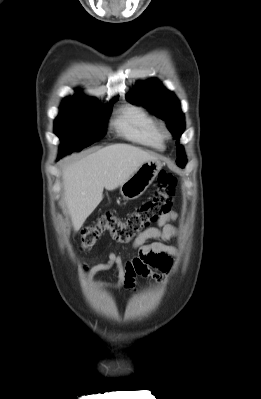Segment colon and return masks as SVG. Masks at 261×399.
<instances>
[{
	"mask_svg": "<svg viewBox=\"0 0 261 399\" xmlns=\"http://www.w3.org/2000/svg\"><path fill=\"white\" fill-rule=\"evenodd\" d=\"M176 179L167 171H160L152 198L131 211L125 218L112 213L101 215L94 223L81 230V247L93 248L103 234H109L115 241L128 243L169 213Z\"/></svg>",
	"mask_w": 261,
	"mask_h": 399,
	"instance_id": "obj_1",
	"label": "colon"
}]
</instances>
